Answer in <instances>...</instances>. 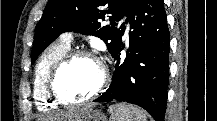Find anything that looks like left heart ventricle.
Masks as SVG:
<instances>
[{
  "mask_svg": "<svg viewBox=\"0 0 217 121\" xmlns=\"http://www.w3.org/2000/svg\"><path fill=\"white\" fill-rule=\"evenodd\" d=\"M100 78L101 69L95 61L79 58L60 73L57 87L65 98L79 100L96 89Z\"/></svg>",
  "mask_w": 217,
  "mask_h": 121,
  "instance_id": "left-heart-ventricle-1",
  "label": "left heart ventricle"
}]
</instances>
